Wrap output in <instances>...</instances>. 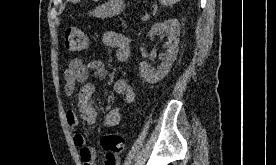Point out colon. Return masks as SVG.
Segmentation results:
<instances>
[{"mask_svg": "<svg viewBox=\"0 0 276 165\" xmlns=\"http://www.w3.org/2000/svg\"><path fill=\"white\" fill-rule=\"evenodd\" d=\"M65 47L71 52H80L88 47V39L85 33L77 28L70 27L65 31ZM101 146L109 156L122 153L126 146L125 137L120 133H111L102 137Z\"/></svg>", "mask_w": 276, "mask_h": 165, "instance_id": "1", "label": "colon"}]
</instances>
